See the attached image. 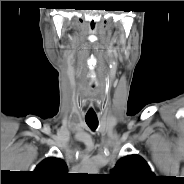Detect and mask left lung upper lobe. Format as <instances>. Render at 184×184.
Listing matches in <instances>:
<instances>
[{
    "mask_svg": "<svg viewBox=\"0 0 184 184\" xmlns=\"http://www.w3.org/2000/svg\"><path fill=\"white\" fill-rule=\"evenodd\" d=\"M110 175L116 184H150L155 176L139 155L119 159Z\"/></svg>",
    "mask_w": 184,
    "mask_h": 184,
    "instance_id": "obj_1",
    "label": "left lung upper lobe"
}]
</instances>
